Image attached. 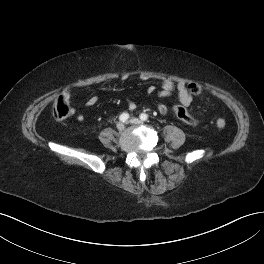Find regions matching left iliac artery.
Returning a JSON list of instances; mask_svg holds the SVG:
<instances>
[{
  "mask_svg": "<svg viewBox=\"0 0 264 264\" xmlns=\"http://www.w3.org/2000/svg\"><path fill=\"white\" fill-rule=\"evenodd\" d=\"M140 119H141L142 121H146V120L148 119V115L145 114V113H142V114L140 115Z\"/></svg>",
  "mask_w": 264,
  "mask_h": 264,
  "instance_id": "left-iliac-artery-1",
  "label": "left iliac artery"
}]
</instances>
